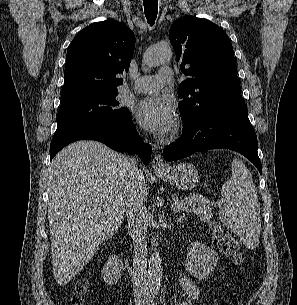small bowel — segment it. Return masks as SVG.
Here are the masks:
<instances>
[{"label": "small bowel", "mask_w": 297, "mask_h": 305, "mask_svg": "<svg viewBox=\"0 0 297 305\" xmlns=\"http://www.w3.org/2000/svg\"><path fill=\"white\" fill-rule=\"evenodd\" d=\"M180 284L183 291L192 299H199L202 291L198 285L186 274L181 273L179 276Z\"/></svg>", "instance_id": "obj_1"}]
</instances>
